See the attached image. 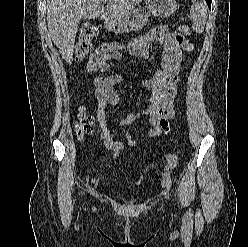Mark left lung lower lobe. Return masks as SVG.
<instances>
[{"instance_id": "1", "label": "left lung lower lobe", "mask_w": 248, "mask_h": 247, "mask_svg": "<svg viewBox=\"0 0 248 247\" xmlns=\"http://www.w3.org/2000/svg\"><path fill=\"white\" fill-rule=\"evenodd\" d=\"M206 2H207L208 6H209V8H210V7H211V2H212V0H206Z\"/></svg>"}]
</instances>
